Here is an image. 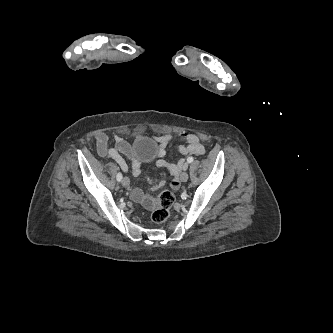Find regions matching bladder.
<instances>
[{"label":"bladder","mask_w":333,"mask_h":333,"mask_svg":"<svg viewBox=\"0 0 333 333\" xmlns=\"http://www.w3.org/2000/svg\"><path fill=\"white\" fill-rule=\"evenodd\" d=\"M158 143L148 136H140L134 142V152L142 161L153 160L158 153Z\"/></svg>","instance_id":"obj_1"}]
</instances>
